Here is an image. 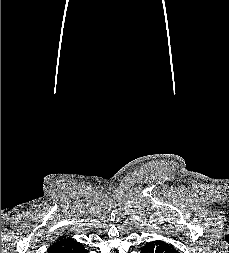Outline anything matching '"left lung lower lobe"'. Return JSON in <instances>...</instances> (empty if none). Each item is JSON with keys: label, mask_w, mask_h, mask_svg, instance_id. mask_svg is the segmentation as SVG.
<instances>
[{"label": "left lung lower lobe", "mask_w": 229, "mask_h": 253, "mask_svg": "<svg viewBox=\"0 0 229 253\" xmlns=\"http://www.w3.org/2000/svg\"><path fill=\"white\" fill-rule=\"evenodd\" d=\"M141 253H179L171 244L164 241H153L147 243Z\"/></svg>", "instance_id": "obj_1"}]
</instances>
